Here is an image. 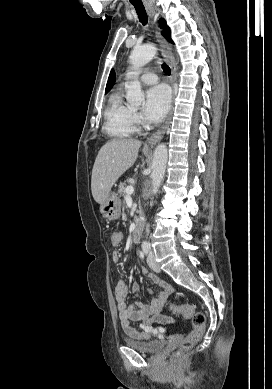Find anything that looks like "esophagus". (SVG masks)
Listing matches in <instances>:
<instances>
[{
    "label": "esophagus",
    "instance_id": "obj_1",
    "mask_svg": "<svg viewBox=\"0 0 272 389\" xmlns=\"http://www.w3.org/2000/svg\"><path fill=\"white\" fill-rule=\"evenodd\" d=\"M147 10H148V13L151 17H155V11L152 8L147 7ZM156 36L158 38V41H159L161 49H162V55H163L164 59L166 60V62L169 64L170 69H171L170 82H171V86L173 88V95H172V102H173L174 98H175V94H176L175 88H174L176 70H175L174 61L171 58V48H170L169 43L162 37L159 29L156 30ZM172 113H173V105H172V108L170 109V112L168 114V117H167L164 125L155 134H153L152 136H150L146 140V142L144 144L145 147H152L154 145L155 141L157 139H159L165 133L167 127L169 126V123H170V120L172 117Z\"/></svg>",
    "mask_w": 272,
    "mask_h": 389
}]
</instances>
